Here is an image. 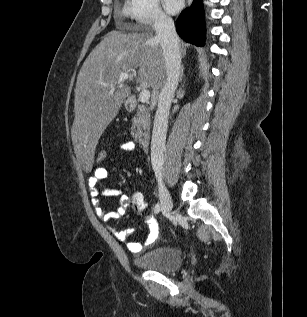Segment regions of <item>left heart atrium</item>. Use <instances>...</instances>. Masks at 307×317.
<instances>
[{
	"mask_svg": "<svg viewBox=\"0 0 307 317\" xmlns=\"http://www.w3.org/2000/svg\"><path fill=\"white\" fill-rule=\"evenodd\" d=\"M184 0H163V5L169 13L178 12L183 6Z\"/></svg>",
	"mask_w": 307,
	"mask_h": 317,
	"instance_id": "39dd6f15",
	"label": "left heart atrium"
}]
</instances>
